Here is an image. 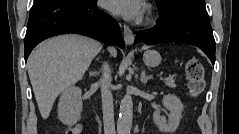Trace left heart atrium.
Instances as JSON below:
<instances>
[{
	"mask_svg": "<svg viewBox=\"0 0 239 134\" xmlns=\"http://www.w3.org/2000/svg\"><path fill=\"white\" fill-rule=\"evenodd\" d=\"M106 7L112 13L128 20L140 19L145 11L144 2L141 0H107Z\"/></svg>",
	"mask_w": 239,
	"mask_h": 134,
	"instance_id": "1",
	"label": "left heart atrium"
}]
</instances>
